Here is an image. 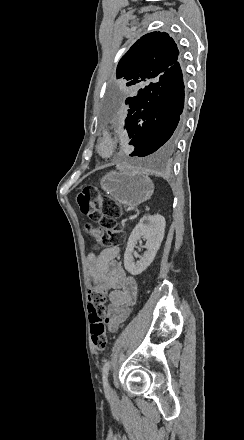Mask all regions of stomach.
<instances>
[{
    "label": "stomach",
    "instance_id": "stomach-1",
    "mask_svg": "<svg viewBox=\"0 0 244 440\" xmlns=\"http://www.w3.org/2000/svg\"><path fill=\"white\" fill-rule=\"evenodd\" d=\"M100 186L113 200L129 208L150 200L154 192L152 180L143 172H108L101 178Z\"/></svg>",
    "mask_w": 244,
    "mask_h": 440
}]
</instances>
